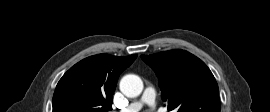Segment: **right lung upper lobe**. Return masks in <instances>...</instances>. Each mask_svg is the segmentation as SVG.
Here are the masks:
<instances>
[{"instance_id": "cb5924a9", "label": "right lung upper lobe", "mask_w": 270, "mask_h": 112, "mask_svg": "<svg viewBox=\"0 0 270 112\" xmlns=\"http://www.w3.org/2000/svg\"><path fill=\"white\" fill-rule=\"evenodd\" d=\"M136 57L99 54L81 60L58 82L53 112L110 111L118 77Z\"/></svg>"}]
</instances>
